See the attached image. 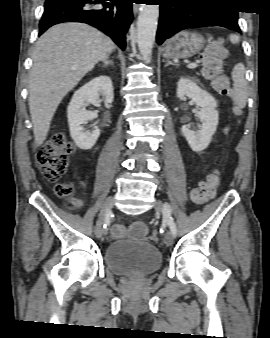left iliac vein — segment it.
<instances>
[{
	"instance_id": "1",
	"label": "left iliac vein",
	"mask_w": 270,
	"mask_h": 338,
	"mask_svg": "<svg viewBox=\"0 0 270 338\" xmlns=\"http://www.w3.org/2000/svg\"><path fill=\"white\" fill-rule=\"evenodd\" d=\"M155 211L160 214L163 212V209H164V204L161 200H157L155 202ZM164 243L167 245V246H171L173 244V235L170 231L166 232L165 235H164Z\"/></svg>"
}]
</instances>
